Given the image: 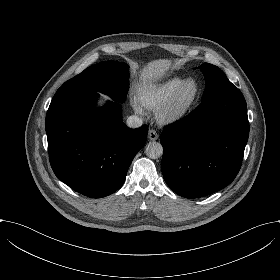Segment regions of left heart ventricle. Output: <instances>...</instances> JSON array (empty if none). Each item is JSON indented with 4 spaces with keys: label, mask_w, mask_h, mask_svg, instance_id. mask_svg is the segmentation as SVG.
<instances>
[{
    "label": "left heart ventricle",
    "mask_w": 280,
    "mask_h": 280,
    "mask_svg": "<svg viewBox=\"0 0 280 280\" xmlns=\"http://www.w3.org/2000/svg\"><path fill=\"white\" fill-rule=\"evenodd\" d=\"M198 92V86L196 81L190 80L186 83L182 93L180 94L177 104L179 107H184L196 98Z\"/></svg>",
    "instance_id": "b2bd125f"
}]
</instances>
